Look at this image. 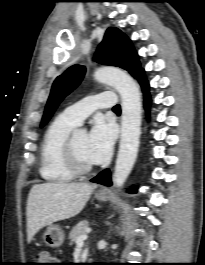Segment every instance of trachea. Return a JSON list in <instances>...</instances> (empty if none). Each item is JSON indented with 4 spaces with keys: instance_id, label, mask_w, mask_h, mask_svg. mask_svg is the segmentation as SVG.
Wrapping results in <instances>:
<instances>
[{
    "instance_id": "obj_1",
    "label": "trachea",
    "mask_w": 205,
    "mask_h": 265,
    "mask_svg": "<svg viewBox=\"0 0 205 265\" xmlns=\"http://www.w3.org/2000/svg\"><path fill=\"white\" fill-rule=\"evenodd\" d=\"M113 110H120V105H119V104L116 105V106L113 108Z\"/></svg>"
}]
</instances>
